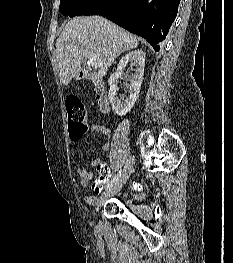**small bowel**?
<instances>
[{"mask_svg":"<svg viewBox=\"0 0 233 263\" xmlns=\"http://www.w3.org/2000/svg\"><path fill=\"white\" fill-rule=\"evenodd\" d=\"M90 132L102 134L104 136L103 150L106 151L109 149L110 141H111V132L108 127L100 123H93L90 126ZM92 166L96 167L98 171H109V166H106V164L101 159L93 160ZM78 174L80 177V184L83 187H87L93 178V174L86 168H80L78 170ZM100 184H104V183H100ZM97 201L98 200L94 195L84 196V202L88 206H95L97 204Z\"/></svg>","mask_w":233,"mask_h":263,"instance_id":"c3829d8e","label":"small bowel"}]
</instances>
